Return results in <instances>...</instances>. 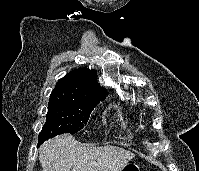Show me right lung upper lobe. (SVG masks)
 Returning <instances> with one entry per match:
<instances>
[{"instance_id": "obj_1", "label": "right lung upper lobe", "mask_w": 199, "mask_h": 171, "mask_svg": "<svg viewBox=\"0 0 199 171\" xmlns=\"http://www.w3.org/2000/svg\"><path fill=\"white\" fill-rule=\"evenodd\" d=\"M50 97L68 101H92L105 97V89H101L97 83L95 70L80 68L60 79Z\"/></svg>"}]
</instances>
